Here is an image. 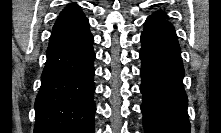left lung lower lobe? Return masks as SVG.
Returning a JSON list of instances; mask_svg holds the SVG:
<instances>
[{
  "label": "left lung lower lobe",
  "mask_w": 221,
  "mask_h": 133,
  "mask_svg": "<svg viewBox=\"0 0 221 133\" xmlns=\"http://www.w3.org/2000/svg\"><path fill=\"white\" fill-rule=\"evenodd\" d=\"M141 93L146 133H190L184 67L173 25L150 16L141 35Z\"/></svg>",
  "instance_id": "left-lung-lower-lobe-1"
}]
</instances>
